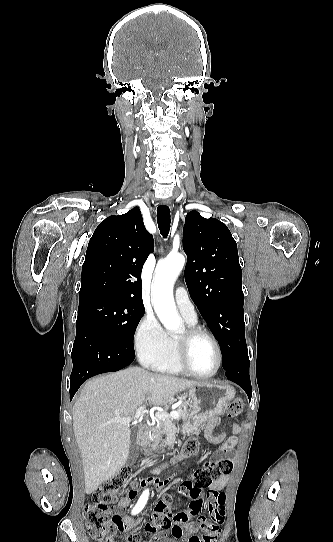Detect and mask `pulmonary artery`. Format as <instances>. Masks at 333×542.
Instances as JSON below:
<instances>
[{
    "label": "pulmonary artery",
    "mask_w": 333,
    "mask_h": 542,
    "mask_svg": "<svg viewBox=\"0 0 333 542\" xmlns=\"http://www.w3.org/2000/svg\"><path fill=\"white\" fill-rule=\"evenodd\" d=\"M180 290L182 293H180ZM176 289L175 291V303L178 311L189 321H197V313L194 307L193 302L191 301L188 292L187 286H182L181 289Z\"/></svg>",
    "instance_id": "1"
}]
</instances>
